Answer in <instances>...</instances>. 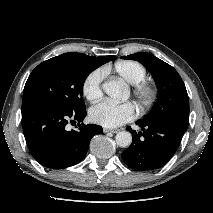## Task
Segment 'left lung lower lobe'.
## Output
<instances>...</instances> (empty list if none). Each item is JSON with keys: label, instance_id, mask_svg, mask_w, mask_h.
Returning <instances> with one entry per match:
<instances>
[{"label": "left lung lower lobe", "instance_id": "1", "mask_svg": "<svg viewBox=\"0 0 213 213\" xmlns=\"http://www.w3.org/2000/svg\"><path fill=\"white\" fill-rule=\"evenodd\" d=\"M136 124L142 131L137 133L127 127L133 142L121 156L125 164L138 171L158 169L167 163L187 129V125L174 120L138 121Z\"/></svg>", "mask_w": 213, "mask_h": 213}]
</instances>
